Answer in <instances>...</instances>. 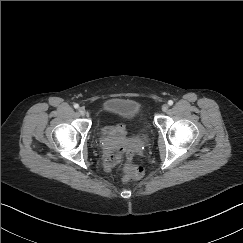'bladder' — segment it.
<instances>
[{
    "label": "bladder",
    "mask_w": 243,
    "mask_h": 243,
    "mask_svg": "<svg viewBox=\"0 0 243 243\" xmlns=\"http://www.w3.org/2000/svg\"><path fill=\"white\" fill-rule=\"evenodd\" d=\"M141 112L140 105L130 99L123 98H109L104 105L103 112L100 114L96 123V132L99 133L100 129L107 118H117L124 121L128 126V132L135 130L138 124V118ZM145 130V129H144ZM139 133L140 137L144 134Z\"/></svg>",
    "instance_id": "bladder-1"
}]
</instances>
